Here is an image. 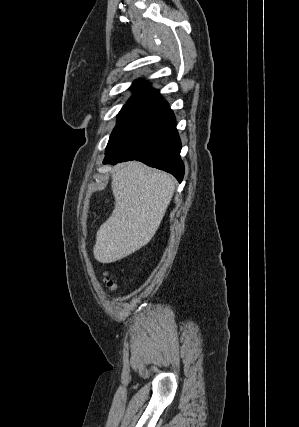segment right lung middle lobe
Masks as SVG:
<instances>
[{
	"instance_id": "dd1d6c3e",
	"label": "right lung middle lobe",
	"mask_w": 299,
	"mask_h": 427,
	"mask_svg": "<svg viewBox=\"0 0 299 427\" xmlns=\"http://www.w3.org/2000/svg\"><path fill=\"white\" fill-rule=\"evenodd\" d=\"M154 103L129 100L118 114V123L114 128L106 151L111 149L120 139L128 134L136 124L152 109Z\"/></svg>"
}]
</instances>
